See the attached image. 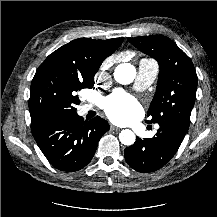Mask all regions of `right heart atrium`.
Masks as SVG:
<instances>
[{
	"label": "right heart atrium",
	"mask_w": 217,
	"mask_h": 217,
	"mask_svg": "<svg viewBox=\"0 0 217 217\" xmlns=\"http://www.w3.org/2000/svg\"><path fill=\"white\" fill-rule=\"evenodd\" d=\"M110 64H111V59H106L103 61V63L101 64V67H100L99 76L106 74L107 70L110 67Z\"/></svg>",
	"instance_id": "obj_1"
}]
</instances>
